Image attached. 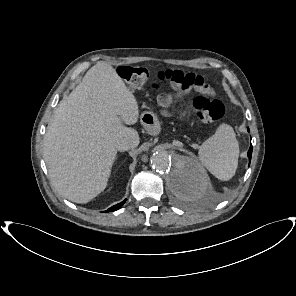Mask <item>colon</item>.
Returning a JSON list of instances; mask_svg holds the SVG:
<instances>
[{"label":"colon","mask_w":296,"mask_h":296,"mask_svg":"<svg viewBox=\"0 0 296 296\" xmlns=\"http://www.w3.org/2000/svg\"><path fill=\"white\" fill-rule=\"evenodd\" d=\"M120 75L129 88L139 89L148 81L151 72L144 67L123 66L120 68ZM157 78L168 81L179 96L191 90L201 93L209 91L203 76L195 73L166 70L159 72ZM187 112H193L200 121L209 123L219 120L224 115L225 108L219 100L198 96L188 105Z\"/></svg>","instance_id":"obj_1"}]
</instances>
